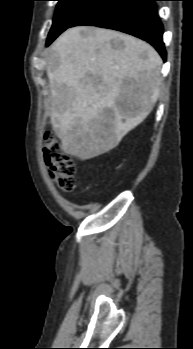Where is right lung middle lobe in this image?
Returning <instances> with one entry per match:
<instances>
[{
  "instance_id": "right-lung-middle-lobe-1",
  "label": "right lung middle lobe",
  "mask_w": 193,
  "mask_h": 349,
  "mask_svg": "<svg viewBox=\"0 0 193 349\" xmlns=\"http://www.w3.org/2000/svg\"><path fill=\"white\" fill-rule=\"evenodd\" d=\"M58 5L52 28L48 35L49 45L60 33L101 0H57Z\"/></svg>"
}]
</instances>
